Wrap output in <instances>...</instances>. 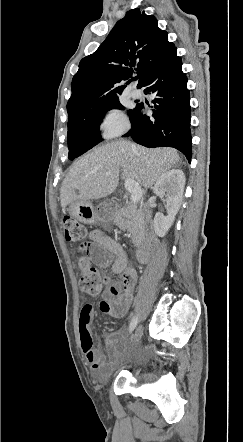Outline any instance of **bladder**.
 <instances>
[{
	"label": "bladder",
	"instance_id": "bladder-1",
	"mask_svg": "<svg viewBox=\"0 0 243 442\" xmlns=\"http://www.w3.org/2000/svg\"><path fill=\"white\" fill-rule=\"evenodd\" d=\"M142 365L140 363H135L133 366V372H137L141 369Z\"/></svg>",
	"mask_w": 243,
	"mask_h": 442
}]
</instances>
